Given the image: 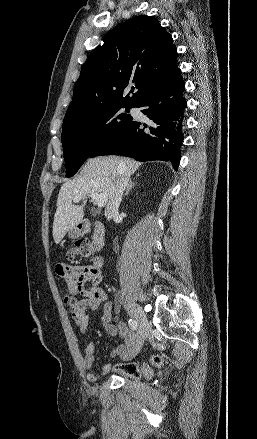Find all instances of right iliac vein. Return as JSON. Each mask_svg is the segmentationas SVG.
Listing matches in <instances>:
<instances>
[{
    "label": "right iliac vein",
    "mask_w": 257,
    "mask_h": 439,
    "mask_svg": "<svg viewBox=\"0 0 257 439\" xmlns=\"http://www.w3.org/2000/svg\"><path fill=\"white\" fill-rule=\"evenodd\" d=\"M128 313L132 318L135 319V321L138 323L139 326L137 345H138V350H140L145 341L147 327H148V320L144 312L141 309H139L135 304L128 307Z\"/></svg>",
    "instance_id": "right-iliac-vein-1"
}]
</instances>
